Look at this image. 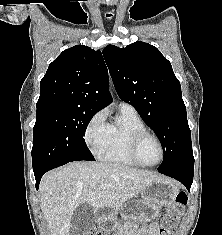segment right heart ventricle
Segmentation results:
<instances>
[{
    "label": "right heart ventricle",
    "instance_id": "right-heart-ventricle-1",
    "mask_svg": "<svg viewBox=\"0 0 222 235\" xmlns=\"http://www.w3.org/2000/svg\"><path fill=\"white\" fill-rule=\"evenodd\" d=\"M147 128L136 111L119 109L114 121L107 126L106 139L97 153L105 161L124 166H137L131 159L128 147L132 136Z\"/></svg>",
    "mask_w": 222,
    "mask_h": 235
}]
</instances>
